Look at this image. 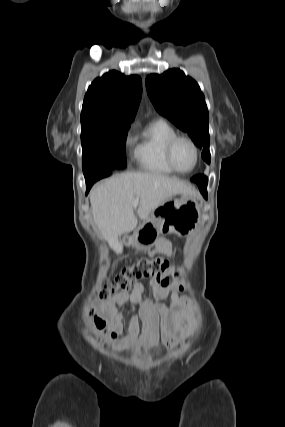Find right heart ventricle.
Here are the masks:
<instances>
[{"label":"right heart ventricle","mask_w":285,"mask_h":427,"mask_svg":"<svg viewBox=\"0 0 285 427\" xmlns=\"http://www.w3.org/2000/svg\"><path fill=\"white\" fill-rule=\"evenodd\" d=\"M176 135V130L166 120L150 122L139 133L134 149V158L139 168L154 174H175L166 161L165 149L168 141Z\"/></svg>","instance_id":"obj_1"}]
</instances>
